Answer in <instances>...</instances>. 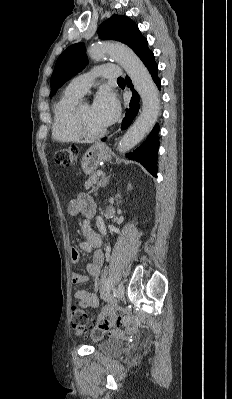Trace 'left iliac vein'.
Returning <instances> with one entry per match:
<instances>
[{"label":"left iliac vein","instance_id":"4c4485c4","mask_svg":"<svg viewBox=\"0 0 232 399\" xmlns=\"http://www.w3.org/2000/svg\"><path fill=\"white\" fill-rule=\"evenodd\" d=\"M118 289H119V295L123 296L124 293H126V288L124 287V285L122 283L118 284Z\"/></svg>","mask_w":232,"mask_h":399}]
</instances>
